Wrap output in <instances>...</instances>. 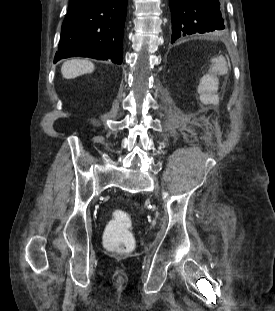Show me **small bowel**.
Masks as SVG:
<instances>
[{
    "mask_svg": "<svg viewBox=\"0 0 275 311\" xmlns=\"http://www.w3.org/2000/svg\"><path fill=\"white\" fill-rule=\"evenodd\" d=\"M208 69L205 73H200V82L196 88L200 93L201 103H205L206 108H219L220 88L222 81L227 76L226 56H209Z\"/></svg>",
    "mask_w": 275,
    "mask_h": 311,
    "instance_id": "obj_1",
    "label": "small bowel"
}]
</instances>
